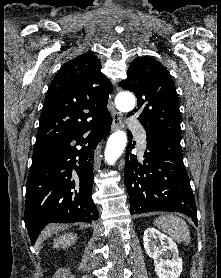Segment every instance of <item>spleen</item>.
Masks as SVG:
<instances>
[{
    "instance_id": "spleen-1",
    "label": "spleen",
    "mask_w": 221,
    "mask_h": 278,
    "mask_svg": "<svg viewBox=\"0 0 221 278\" xmlns=\"http://www.w3.org/2000/svg\"><path fill=\"white\" fill-rule=\"evenodd\" d=\"M154 224L177 242H184L186 245L190 244L189 228L182 218L175 215H162L155 219Z\"/></svg>"
}]
</instances>
